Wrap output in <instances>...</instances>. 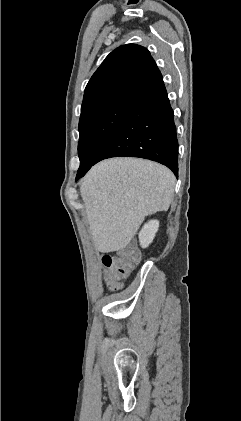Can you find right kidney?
I'll return each instance as SVG.
<instances>
[{
  "label": "right kidney",
  "mask_w": 241,
  "mask_h": 421,
  "mask_svg": "<svg viewBox=\"0 0 241 421\" xmlns=\"http://www.w3.org/2000/svg\"><path fill=\"white\" fill-rule=\"evenodd\" d=\"M159 228L158 220H151L146 223L139 233V241L142 248H146L153 241Z\"/></svg>",
  "instance_id": "1"
}]
</instances>
